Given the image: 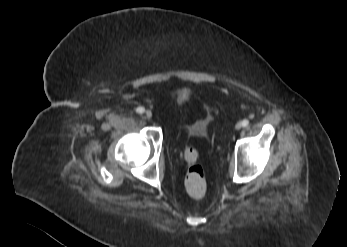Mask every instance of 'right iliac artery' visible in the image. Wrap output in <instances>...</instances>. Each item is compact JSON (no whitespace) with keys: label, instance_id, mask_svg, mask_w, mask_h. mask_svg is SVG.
<instances>
[{"label":"right iliac artery","instance_id":"right-iliac-artery-1","mask_svg":"<svg viewBox=\"0 0 347 247\" xmlns=\"http://www.w3.org/2000/svg\"><path fill=\"white\" fill-rule=\"evenodd\" d=\"M144 111H145V109H144L143 107H138V108L136 109V112L139 113V114L144 113Z\"/></svg>","mask_w":347,"mask_h":247}]
</instances>
